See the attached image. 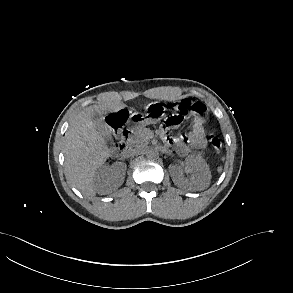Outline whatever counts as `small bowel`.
Wrapping results in <instances>:
<instances>
[{"label":"small bowel","instance_id":"small-bowel-1","mask_svg":"<svg viewBox=\"0 0 293 293\" xmlns=\"http://www.w3.org/2000/svg\"><path fill=\"white\" fill-rule=\"evenodd\" d=\"M204 120L194 119L190 126L189 133L183 139H176L175 145L183 151L200 150L206 146Z\"/></svg>","mask_w":293,"mask_h":293}]
</instances>
